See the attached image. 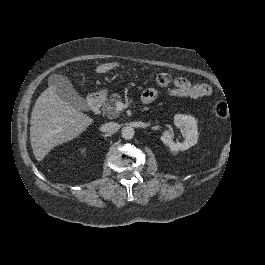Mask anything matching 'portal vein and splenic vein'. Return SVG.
Masks as SVG:
<instances>
[{
    "mask_svg": "<svg viewBox=\"0 0 265 265\" xmlns=\"http://www.w3.org/2000/svg\"><path fill=\"white\" fill-rule=\"evenodd\" d=\"M123 108H124V105L122 103H117L116 106H115V109L117 111H121Z\"/></svg>",
    "mask_w": 265,
    "mask_h": 265,
    "instance_id": "portal-vein-and-splenic-vein-1",
    "label": "portal vein and splenic vein"
}]
</instances>
